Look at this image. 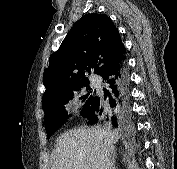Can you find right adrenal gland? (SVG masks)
Returning <instances> with one entry per match:
<instances>
[{"instance_id": "obj_1", "label": "right adrenal gland", "mask_w": 177, "mask_h": 169, "mask_svg": "<svg viewBox=\"0 0 177 169\" xmlns=\"http://www.w3.org/2000/svg\"><path fill=\"white\" fill-rule=\"evenodd\" d=\"M111 169H117V167H115V152H113V157H112V162H111Z\"/></svg>"}]
</instances>
